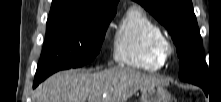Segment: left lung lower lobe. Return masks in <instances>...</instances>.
I'll return each mask as SVG.
<instances>
[{
	"mask_svg": "<svg viewBox=\"0 0 221 102\" xmlns=\"http://www.w3.org/2000/svg\"><path fill=\"white\" fill-rule=\"evenodd\" d=\"M204 90L206 89V86L205 85H203V86H201Z\"/></svg>",
	"mask_w": 221,
	"mask_h": 102,
	"instance_id": "1",
	"label": "left lung lower lobe"
}]
</instances>
